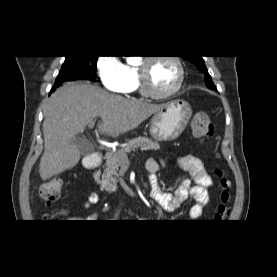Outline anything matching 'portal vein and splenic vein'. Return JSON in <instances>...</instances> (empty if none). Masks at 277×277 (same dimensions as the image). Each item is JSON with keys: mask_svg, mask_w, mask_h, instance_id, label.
Listing matches in <instances>:
<instances>
[{"mask_svg": "<svg viewBox=\"0 0 277 277\" xmlns=\"http://www.w3.org/2000/svg\"><path fill=\"white\" fill-rule=\"evenodd\" d=\"M94 126V122H92V123H90L89 124V128H92ZM129 161H128V159L126 160V163H128Z\"/></svg>", "mask_w": 277, "mask_h": 277, "instance_id": "1", "label": "portal vein and splenic vein"}]
</instances>
